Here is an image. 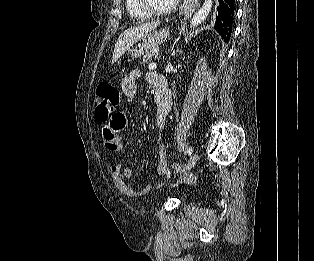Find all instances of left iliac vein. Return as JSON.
Segmentation results:
<instances>
[{
    "label": "left iliac vein",
    "mask_w": 314,
    "mask_h": 261,
    "mask_svg": "<svg viewBox=\"0 0 314 261\" xmlns=\"http://www.w3.org/2000/svg\"><path fill=\"white\" fill-rule=\"evenodd\" d=\"M197 160H198V153H197V152H194V153L191 155V157H190V159H189V161H188V163H187L186 170H187V171L191 170L192 167L196 164Z\"/></svg>",
    "instance_id": "obj_1"
}]
</instances>
